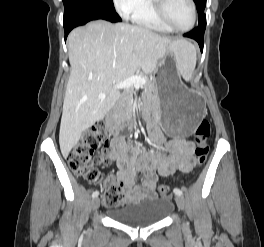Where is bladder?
<instances>
[{
	"instance_id": "obj_1",
	"label": "bladder",
	"mask_w": 264,
	"mask_h": 247,
	"mask_svg": "<svg viewBox=\"0 0 264 247\" xmlns=\"http://www.w3.org/2000/svg\"><path fill=\"white\" fill-rule=\"evenodd\" d=\"M172 207L169 199L146 198L113 209L110 216L114 221L124 225L145 227L164 220L172 211Z\"/></svg>"
}]
</instances>
